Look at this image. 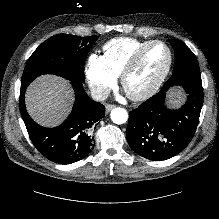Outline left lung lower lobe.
Wrapping results in <instances>:
<instances>
[{
	"label": "left lung lower lobe",
	"mask_w": 219,
	"mask_h": 219,
	"mask_svg": "<svg viewBox=\"0 0 219 219\" xmlns=\"http://www.w3.org/2000/svg\"><path fill=\"white\" fill-rule=\"evenodd\" d=\"M175 86L188 94L179 109H168L165 97ZM203 104L201 75L186 73L168 80L162 89L129 113L126 130L134 152L150 160L161 161L180 153L191 141Z\"/></svg>",
	"instance_id": "1"
}]
</instances>
